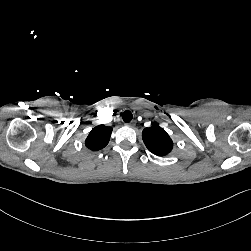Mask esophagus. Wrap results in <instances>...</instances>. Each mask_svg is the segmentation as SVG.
Returning a JSON list of instances; mask_svg holds the SVG:
<instances>
[{
    "label": "esophagus",
    "mask_w": 251,
    "mask_h": 251,
    "mask_svg": "<svg viewBox=\"0 0 251 251\" xmlns=\"http://www.w3.org/2000/svg\"><path fill=\"white\" fill-rule=\"evenodd\" d=\"M127 125L133 127V126H135V122H134V121H133V122H130V123H128Z\"/></svg>",
    "instance_id": "esophagus-1"
}]
</instances>
